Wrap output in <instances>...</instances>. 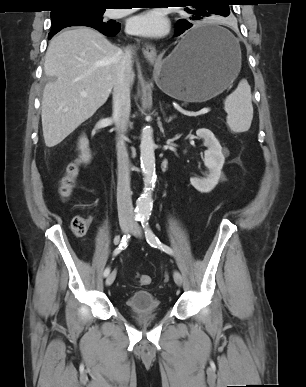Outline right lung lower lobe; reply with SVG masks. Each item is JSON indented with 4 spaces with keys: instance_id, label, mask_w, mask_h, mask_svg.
Instances as JSON below:
<instances>
[{
    "instance_id": "98d812e1",
    "label": "right lung lower lobe",
    "mask_w": 306,
    "mask_h": 387,
    "mask_svg": "<svg viewBox=\"0 0 306 387\" xmlns=\"http://www.w3.org/2000/svg\"><path fill=\"white\" fill-rule=\"evenodd\" d=\"M95 29L99 30L104 35L111 37V36H115L120 31V24H117L112 27H98ZM50 33L51 35L48 36L49 39H51L57 32H50Z\"/></svg>"
}]
</instances>
